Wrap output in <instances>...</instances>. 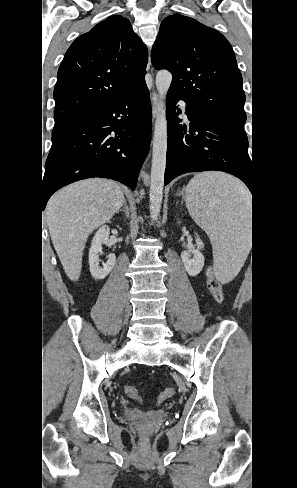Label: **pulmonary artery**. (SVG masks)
Masks as SVG:
<instances>
[{"instance_id":"obj_1","label":"pulmonary artery","mask_w":297,"mask_h":488,"mask_svg":"<svg viewBox=\"0 0 297 488\" xmlns=\"http://www.w3.org/2000/svg\"><path fill=\"white\" fill-rule=\"evenodd\" d=\"M183 110L186 112L185 104L182 103Z\"/></svg>"}]
</instances>
